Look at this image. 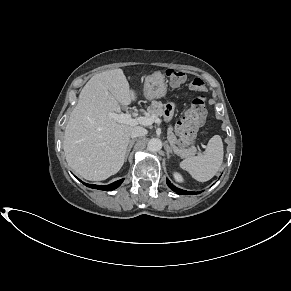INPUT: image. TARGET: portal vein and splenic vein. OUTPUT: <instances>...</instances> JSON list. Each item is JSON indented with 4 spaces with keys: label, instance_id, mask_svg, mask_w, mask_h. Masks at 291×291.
Returning <instances> with one entry per match:
<instances>
[{
    "label": "portal vein and splenic vein",
    "instance_id": "1",
    "mask_svg": "<svg viewBox=\"0 0 291 291\" xmlns=\"http://www.w3.org/2000/svg\"><path fill=\"white\" fill-rule=\"evenodd\" d=\"M108 116L115 119L119 123L129 124L132 126H135L138 124L149 126L153 124L154 122L157 124L161 122V120L156 116H150V117L141 116L137 118H132L130 114H124V113L116 114L114 112L108 113Z\"/></svg>",
    "mask_w": 291,
    "mask_h": 291
}]
</instances>
